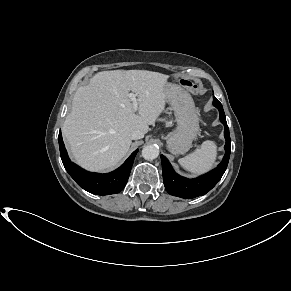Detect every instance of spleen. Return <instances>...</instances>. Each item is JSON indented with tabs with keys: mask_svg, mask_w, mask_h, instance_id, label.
<instances>
[{
	"mask_svg": "<svg viewBox=\"0 0 291 291\" xmlns=\"http://www.w3.org/2000/svg\"><path fill=\"white\" fill-rule=\"evenodd\" d=\"M217 146L213 141L207 140L200 148L179 159L180 165L194 174H202L210 170L216 160Z\"/></svg>",
	"mask_w": 291,
	"mask_h": 291,
	"instance_id": "obj_1",
	"label": "spleen"
}]
</instances>
